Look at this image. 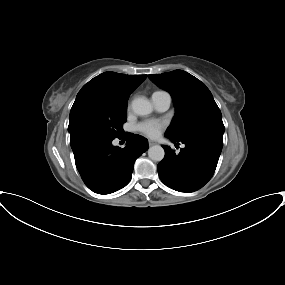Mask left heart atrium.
<instances>
[{
	"label": "left heart atrium",
	"instance_id": "left-heart-atrium-1",
	"mask_svg": "<svg viewBox=\"0 0 285 285\" xmlns=\"http://www.w3.org/2000/svg\"><path fill=\"white\" fill-rule=\"evenodd\" d=\"M163 127L164 123L161 121L146 120L138 124L137 130L150 138H155L159 135Z\"/></svg>",
	"mask_w": 285,
	"mask_h": 285
}]
</instances>
